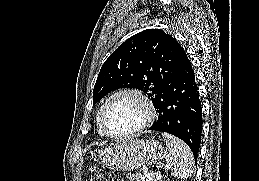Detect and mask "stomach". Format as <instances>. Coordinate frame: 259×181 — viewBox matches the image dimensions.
Returning a JSON list of instances; mask_svg holds the SVG:
<instances>
[{"instance_id":"stomach-1","label":"stomach","mask_w":259,"mask_h":181,"mask_svg":"<svg viewBox=\"0 0 259 181\" xmlns=\"http://www.w3.org/2000/svg\"><path fill=\"white\" fill-rule=\"evenodd\" d=\"M163 146L156 140L136 139L115 147L102 149L97 160L117 171L135 169L158 163L164 156Z\"/></svg>"}]
</instances>
